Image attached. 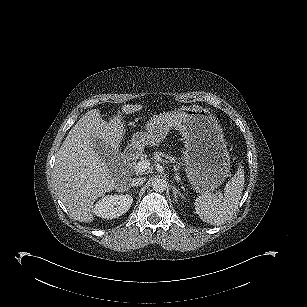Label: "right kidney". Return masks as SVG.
Here are the masks:
<instances>
[{"label": "right kidney", "mask_w": 307, "mask_h": 307, "mask_svg": "<svg viewBox=\"0 0 307 307\" xmlns=\"http://www.w3.org/2000/svg\"><path fill=\"white\" fill-rule=\"evenodd\" d=\"M133 202V198L128 194H114L103 196L93 206V213L103 219L111 220L126 213Z\"/></svg>", "instance_id": "right-kidney-1"}]
</instances>
